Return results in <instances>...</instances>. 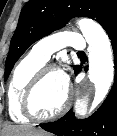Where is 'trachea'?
Here are the masks:
<instances>
[{"mask_svg": "<svg viewBox=\"0 0 117 136\" xmlns=\"http://www.w3.org/2000/svg\"><path fill=\"white\" fill-rule=\"evenodd\" d=\"M78 54H84V52H78Z\"/></svg>", "mask_w": 117, "mask_h": 136, "instance_id": "1", "label": "trachea"}]
</instances>
